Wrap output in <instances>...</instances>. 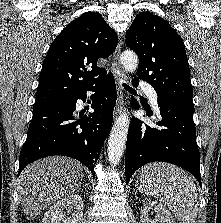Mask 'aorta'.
<instances>
[{
	"instance_id": "obj_1",
	"label": "aorta",
	"mask_w": 221,
	"mask_h": 223,
	"mask_svg": "<svg viewBox=\"0 0 221 223\" xmlns=\"http://www.w3.org/2000/svg\"><path fill=\"white\" fill-rule=\"evenodd\" d=\"M120 60L123 68L128 72H133L138 67L139 60L133 51L123 52ZM129 124L128 112L124 111L116 119L112 127L107 147L109 162L112 165H117L121 160L126 145Z\"/></svg>"
}]
</instances>
